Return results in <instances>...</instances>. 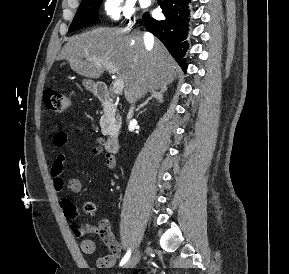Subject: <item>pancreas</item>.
Here are the masks:
<instances>
[{
    "label": "pancreas",
    "mask_w": 289,
    "mask_h": 274,
    "mask_svg": "<svg viewBox=\"0 0 289 274\" xmlns=\"http://www.w3.org/2000/svg\"><path fill=\"white\" fill-rule=\"evenodd\" d=\"M101 131L104 135H111L116 129L115 111L105 112L100 119Z\"/></svg>",
    "instance_id": "cf45deb5"
}]
</instances>
